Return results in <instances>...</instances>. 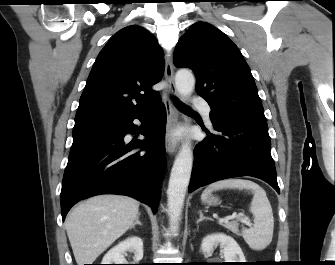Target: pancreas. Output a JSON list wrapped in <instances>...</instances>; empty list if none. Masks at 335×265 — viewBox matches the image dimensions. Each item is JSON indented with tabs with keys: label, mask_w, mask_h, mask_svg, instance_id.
I'll use <instances>...</instances> for the list:
<instances>
[{
	"label": "pancreas",
	"mask_w": 335,
	"mask_h": 265,
	"mask_svg": "<svg viewBox=\"0 0 335 265\" xmlns=\"http://www.w3.org/2000/svg\"><path fill=\"white\" fill-rule=\"evenodd\" d=\"M223 226L226 229L233 232L234 234L239 235V230H238L239 224L236 221H231V222L225 223V224H223Z\"/></svg>",
	"instance_id": "cf45deb5"
}]
</instances>
